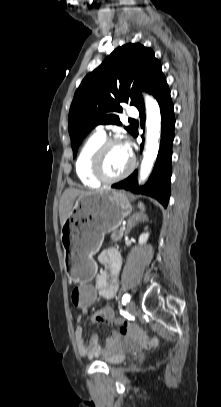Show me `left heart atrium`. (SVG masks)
Instances as JSON below:
<instances>
[{
  "instance_id": "39dd6f15",
  "label": "left heart atrium",
  "mask_w": 221,
  "mask_h": 407,
  "mask_svg": "<svg viewBox=\"0 0 221 407\" xmlns=\"http://www.w3.org/2000/svg\"><path fill=\"white\" fill-rule=\"evenodd\" d=\"M123 146H124L125 150L130 154V147H129V145H128V144H124Z\"/></svg>"
}]
</instances>
